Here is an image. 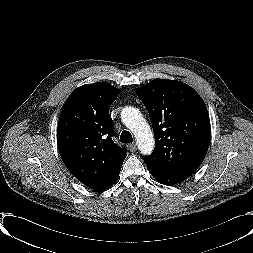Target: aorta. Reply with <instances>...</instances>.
<instances>
[{
  "label": "aorta",
  "mask_w": 253,
  "mask_h": 253,
  "mask_svg": "<svg viewBox=\"0 0 253 253\" xmlns=\"http://www.w3.org/2000/svg\"><path fill=\"white\" fill-rule=\"evenodd\" d=\"M122 122L129 128L138 144V148L144 155H149L154 149V136L149 124L135 107H125L121 111Z\"/></svg>",
  "instance_id": "1"
}]
</instances>
